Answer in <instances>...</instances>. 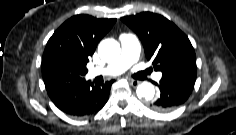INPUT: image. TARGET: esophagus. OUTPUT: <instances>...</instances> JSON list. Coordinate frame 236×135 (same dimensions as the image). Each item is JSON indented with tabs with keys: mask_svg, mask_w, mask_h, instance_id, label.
Instances as JSON below:
<instances>
[{
	"mask_svg": "<svg viewBox=\"0 0 236 135\" xmlns=\"http://www.w3.org/2000/svg\"><path fill=\"white\" fill-rule=\"evenodd\" d=\"M128 81H129V83H130L133 87H136V86H138V85L140 84V81L135 80V79H130V78H128Z\"/></svg>",
	"mask_w": 236,
	"mask_h": 135,
	"instance_id": "34e87169",
	"label": "esophagus"
}]
</instances>
